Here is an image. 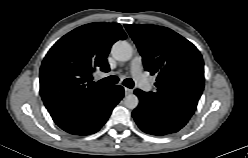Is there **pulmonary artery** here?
<instances>
[{
    "label": "pulmonary artery",
    "instance_id": "e3ab8cb5",
    "mask_svg": "<svg viewBox=\"0 0 248 158\" xmlns=\"http://www.w3.org/2000/svg\"><path fill=\"white\" fill-rule=\"evenodd\" d=\"M131 73L135 82L139 87L145 91L151 89L149 78H147L142 72V58L140 55H135L130 63Z\"/></svg>",
    "mask_w": 248,
    "mask_h": 158
}]
</instances>
